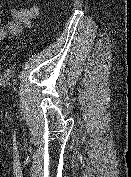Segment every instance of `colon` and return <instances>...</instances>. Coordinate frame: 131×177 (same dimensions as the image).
Instances as JSON below:
<instances>
[{
	"label": "colon",
	"mask_w": 131,
	"mask_h": 177,
	"mask_svg": "<svg viewBox=\"0 0 131 177\" xmlns=\"http://www.w3.org/2000/svg\"><path fill=\"white\" fill-rule=\"evenodd\" d=\"M2 67H3V63L2 61H0V70L2 69Z\"/></svg>",
	"instance_id": "1"
}]
</instances>
